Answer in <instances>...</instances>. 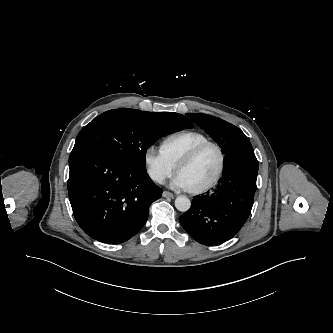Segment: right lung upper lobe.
I'll list each match as a JSON object with an SVG mask.
<instances>
[{
	"label": "right lung upper lobe",
	"mask_w": 333,
	"mask_h": 333,
	"mask_svg": "<svg viewBox=\"0 0 333 333\" xmlns=\"http://www.w3.org/2000/svg\"><path fill=\"white\" fill-rule=\"evenodd\" d=\"M140 112L144 116H146L150 119H156V120H161V119H164L166 117L172 116L173 114H176L175 116H177L178 118H180L181 120H183L187 124L193 125V123L187 117H185L183 115H180V114H177V113H155V112H146V111H140Z\"/></svg>",
	"instance_id": "obj_1"
}]
</instances>
